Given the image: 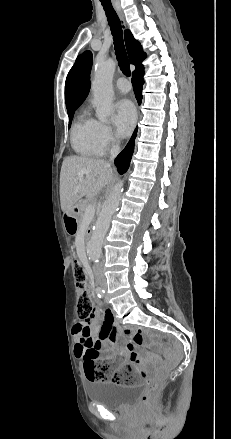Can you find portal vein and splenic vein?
<instances>
[{"label": "portal vein and splenic vein", "instance_id": "portal-vein-and-splenic-vein-1", "mask_svg": "<svg viewBox=\"0 0 231 439\" xmlns=\"http://www.w3.org/2000/svg\"><path fill=\"white\" fill-rule=\"evenodd\" d=\"M81 175V174H79ZM95 213V207L93 204H88V207L86 209V213H85V219H91L94 216Z\"/></svg>", "mask_w": 231, "mask_h": 439}]
</instances>
